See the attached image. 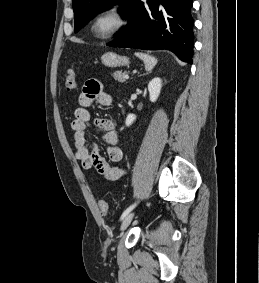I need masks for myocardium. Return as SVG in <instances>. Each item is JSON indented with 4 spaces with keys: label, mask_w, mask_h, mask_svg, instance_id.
Returning a JSON list of instances; mask_svg holds the SVG:
<instances>
[{
    "label": "myocardium",
    "mask_w": 259,
    "mask_h": 283,
    "mask_svg": "<svg viewBox=\"0 0 259 283\" xmlns=\"http://www.w3.org/2000/svg\"><path fill=\"white\" fill-rule=\"evenodd\" d=\"M107 16L112 17L115 20V24L107 33L98 34L95 31V26L100 19ZM126 24L127 16L124 10L119 5L112 4L102 8L95 14L90 23V31L94 38L99 40H108L121 32Z\"/></svg>",
    "instance_id": "f54148a6"
}]
</instances>
